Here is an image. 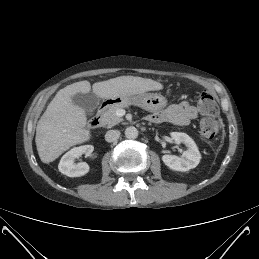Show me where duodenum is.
<instances>
[{"label": "duodenum", "mask_w": 259, "mask_h": 259, "mask_svg": "<svg viewBox=\"0 0 259 259\" xmlns=\"http://www.w3.org/2000/svg\"><path fill=\"white\" fill-rule=\"evenodd\" d=\"M112 103V101H103L97 110L96 115L90 120L89 127L91 129H97L101 125V114L102 112Z\"/></svg>", "instance_id": "1"}]
</instances>
